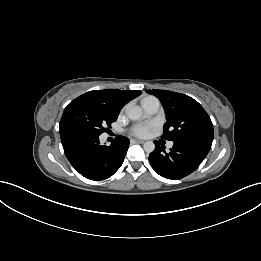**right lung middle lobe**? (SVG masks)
Returning <instances> with one entry per match:
<instances>
[{
	"label": "right lung middle lobe",
	"instance_id": "dd1d6c3e",
	"mask_svg": "<svg viewBox=\"0 0 261 261\" xmlns=\"http://www.w3.org/2000/svg\"><path fill=\"white\" fill-rule=\"evenodd\" d=\"M118 115L96 99L79 96L64 109L60 131L80 130L101 135Z\"/></svg>",
	"mask_w": 261,
	"mask_h": 261
}]
</instances>
